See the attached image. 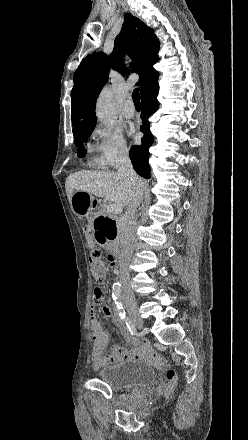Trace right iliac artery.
<instances>
[{
    "label": "right iliac artery",
    "instance_id": "82829eb1",
    "mask_svg": "<svg viewBox=\"0 0 248 440\" xmlns=\"http://www.w3.org/2000/svg\"><path fill=\"white\" fill-rule=\"evenodd\" d=\"M120 295H121V288L118 286L113 287L112 298L115 301L117 310L119 311V316L121 319L126 320V312L122 304L119 302Z\"/></svg>",
    "mask_w": 248,
    "mask_h": 440
}]
</instances>
